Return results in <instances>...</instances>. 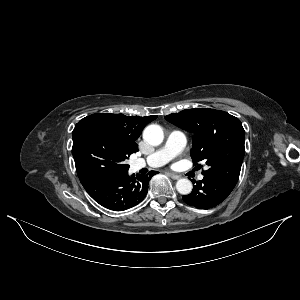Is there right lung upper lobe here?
Listing matches in <instances>:
<instances>
[{"label":"right lung upper lobe","instance_id":"right-lung-upper-lobe-1","mask_svg":"<svg viewBox=\"0 0 300 300\" xmlns=\"http://www.w3.org/2000/svg\"><path fill=\"white\" fill-rule=\"evenodd\" d=\"M90 116L100 120L102 126L116 137L130 154L138 151L135 141L139 138L142 129L147 123L157 118L155 115L139 117L111 113Z\"/></svg>","mask_w":300,"mask_h":300}]
</instances>
